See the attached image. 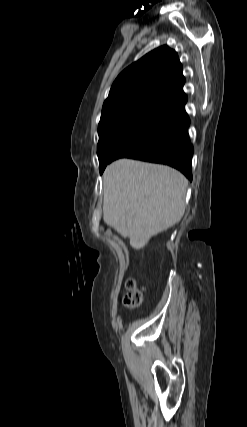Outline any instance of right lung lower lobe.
<instances>
[{
    "mask_svg": "<svg viewBox=\"0 0 247 427\" xmlns=\"http://www.w3.org/2000/svg\"><path fill=\"white\" fill-rule=\"evenodd\" d=\"M186 102L183 92L153 110L125 137L108 163L129 157L167 164L192 180L194 149L188 135L190 121L184 109Z\"/></svg>",
    "mask_w": 247,
    "mask_h": 427,
    "instance_id": "right-lung-lower-lobe-1",
    "label": "right lung lower lobe"
}]
</instances>
